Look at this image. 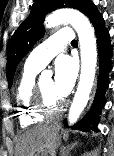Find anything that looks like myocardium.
<instances>
[{"label":"myocardium","instance_id":"obj_1","mask_svg":"<svg viewBox=\"0 0 114 156\" xmlns=\"http://www.w3.org/2000/svg\"><path fill=\"white\" fill-rule=\"evenodd\" d=\"M33 104L35 109L43 116L53 117L57 116L64 110L65 102L60 101L52 105L45 93L43 92L40 83H36L34 87Z\"/></svg>","mask_w":114,"mask_h":156}]
</instances>
